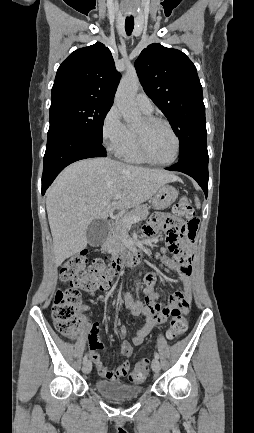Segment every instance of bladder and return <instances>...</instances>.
I'll return each mask as SVG.
<instances>
[{"label": "bladder", "instance_id": "31cf9c89", "mask_svg": "<svg viewBox=\"0 0 254 433\" xmlns=\"http://www.w3.org/2000/svg\"><path fill=\"white\" fill-rule=\"evenodd\" d=\"M94 386L100 394L111 399L136 398L143 392L141 386L116 380H96Z\"/></svg>", "mask_w": 254, "mask_h": 433}]
</instances>
